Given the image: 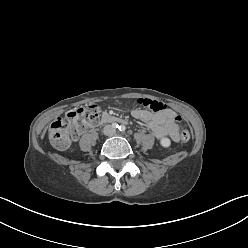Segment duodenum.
<instances>
[{"instance_id":"obj_1","label":"duodenum","mask_w":248,"mask_h":248,"mask_svg":"<svg viewBox=\"0 0 248 248\" xmlns=\"http://www.w3.org/2000/svg\"><path fill=\"white\" fill-rule=\"evenodd\" d=\"M126 121L120 117L113 116L110 114H104L98 124H104V123H125Z\"/></svg>"}]
</instances>
